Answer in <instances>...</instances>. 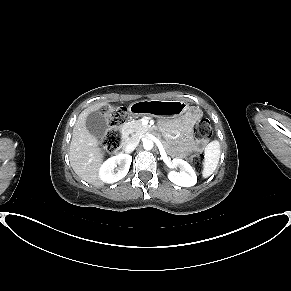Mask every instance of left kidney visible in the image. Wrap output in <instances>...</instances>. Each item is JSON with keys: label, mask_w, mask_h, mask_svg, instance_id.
Listing matches in <instances>:
<instances>
[{"label": "left kidney", "mask_w": 291, "mask_h": 291, "mask_svg": "<svg viewBox=\"0 0 291 291\" xmlns=\"http://www.w3.org/2000/svg\"><path fill=\"white\" fill-rule=\"evenodd\" d=\"M171 167H178L180 169L179 172L172 170L168 173V179L174 184L182 187H191L197 183V175L194 169L186 161L174 158L171 161Z\"/></svg>", "instance_id": "left-kidney-1"}]
</instances>
